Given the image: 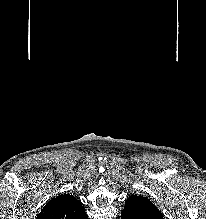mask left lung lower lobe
Here are the masks:
<instances>
[{"label": "left lung lower lobe", "mask_w": 206, "mask_h": 219, "mask_svg": "<svg viewBox=\"0 0 206 219\" xmlns=\"http://www.w3.org/2000/svg\"><path fill=\"white\" fill-rule=\"evenodd\" d=\"M142 200L131 198L126 200L121 219H164L163 217L152 215L148 212Z\"/></svg>", "instance_id": "1"}]
</instances>
